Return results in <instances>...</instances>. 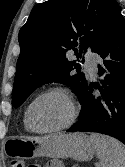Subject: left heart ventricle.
Listing matches in <instances>:
<instances>
[{
  "label": "left heart ventricle",
  "mask_w": 125,
  "mask_h": 167,
  "mask_svg": "<svg viewBox=\"0 0 125 167\" xmlns=\"http://www.w3.org/2000/svg\"><path fill=\"white\" fill-rule=\"evenodd\" d=\"M68 115L69 107L66 101L61 96L53 94L40 99L33 106L30 122L35 129H49L62 124Z\"/></svg>",
  "instance_id": "b2bd125f"
}]
</instances>
